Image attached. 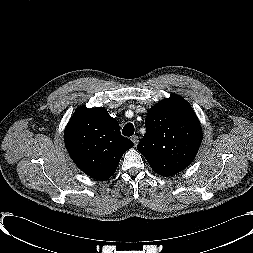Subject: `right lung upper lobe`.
Instances as JSON below:
<instances>
[{
	"label": "right lung upper lobe",
	"mask_w": 253,
	"mask_h": 253,
	"mask_svg": "<svg viewBox=\"0 0 253 253\" xmlns=\"http://www.w3.org/2000/svg\"><path fill=\"white\" fill-rule=\"evenodd\" d=\"M64 140L74 163L101 181L115 173L122 155L134 145L121 136L119 123L104 107H79L65 129Z\"/></svg>",
	"instance_id": "1"
}]
</instances>
